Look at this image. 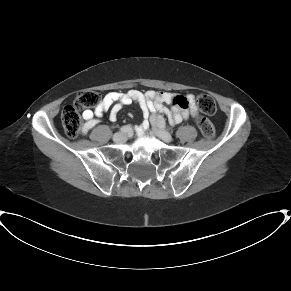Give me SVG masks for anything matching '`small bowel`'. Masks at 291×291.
<instances>
[{
	"label": "small bowel",
	"instance_id": "c3829d8e",
	"mask_svg": "<svg viewBox=\"0 0 291 291\" xmlns=\"http://www.w3.org/2000/svg\"><path fill=\"white\" fill-rule=\"evenodd\" d=\"M136 103L144 111L161 112L169 114L173 123H179L189 116L198 114V107L195 97L192 94L188 95H173L169 92L147 91L140 92L138 90H129L128 92H110L103 98V101L95 108V110H85L83 112V133H88L98 123L99 118L104 112L109 111L111 121H116L118 113L124 105ZM173 104L171 110L165 107L164 104ZM146 127V124H143Z\"/></svg>",
	"mask_w": 291,
	"mask_h": 291
}]
</instances>
